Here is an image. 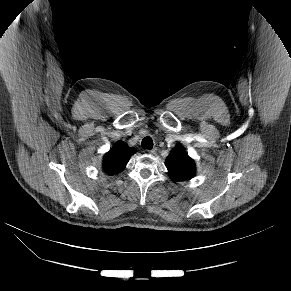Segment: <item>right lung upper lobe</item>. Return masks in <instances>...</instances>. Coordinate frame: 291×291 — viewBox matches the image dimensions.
Here are the masks:
<instances>
[{
    "label": "right lung upper lobe",
    "mask_w": 291,
    "mask_h": 291,
    "mask_svg": "<svg viewBox=\"0 0 291 291\" xmlns=\"http://www.w3.org/2000/svg\"><path fill=\"white\" fill-rule=\"evenodd\" d=\"M134 153V148L129 147L124 142H117L113 148L104 155V172L110 176L120 173Z\"/></svg>",
    "instance_id": "right-lung-upper-lobe-1"
}]
</instances>
